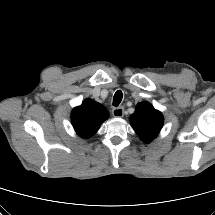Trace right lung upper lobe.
<instances>
[{"label": "right lung upper lobe", "instance_id": "right-lung-upper-lobe-1", "mask_svg": "<svg viewBox=\"0 0 215 215\" xmlns=\"http://www.w3.org/2000/svg\"><path fill=\"white\" fill-rule=\"evenodd\" d=\"M108 116L109 113L103 105L92 99H86L79 107L73 109L71 121L77 134L88 138L98 131Z\"/></svg>", "mask_w": 215, "mask_h": 215}]
</instances>
